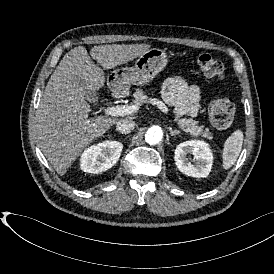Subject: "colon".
I'll use <instances>...</instances> for the list:
<instances>
[{"label": "colon", "instance_id": "colon-1", "mask_svg": "<svg viewBox=\"0 0 274 274\" xmlns=\"http://www.w3.org/2000/svg\"><path fill=\"white\" fill-rule=\"evenodd\" d=\"M196 63L202 73L216 81L225 79V70L221 61L207 53H201L196 58ZM235 105L225 97H219L209 106V118L212 125L219 130L231 127L235 118Z\"/></svg>", "mask_w": 274, "mask_h": 274}]
</instances>
